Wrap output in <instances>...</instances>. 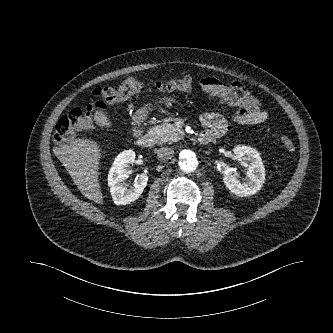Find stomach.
I'll return each mask as SVG.
<instances>
[{"label": "stomach", "mask_w": 333, "mask_h": 333, "mask_svg": "<svg viewBox=\"0 0 333 333\" xmlns=\"http://www.w3.org/2000/svg\"><path fill=\"white\" fill-rule=\"evenodd\" d=\"M151 110V109H150ZM147 113H148V108L144 107V108H141L140 110H138L134 116V121H142L146 118L147 116Z\"/></svg>", "instance_id": "stomach-1"}]
</instances>
